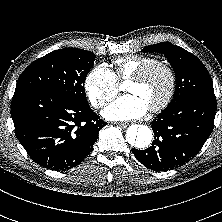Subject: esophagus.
<instances>
[{
    "label": "esophagus",
    "instance_id": "1",
    "mask_svg": "<svg viewBox=\"0 0 222 222\" xmlns=\"http://www.w3.org/2000/svg\"><path fill=\"white\" fill-rule=\"evenodd\" d=\"M129 124L126 123H118V126L122 129H125L126 127H128Z\"/></svg>",
    "mask_w": 222,
    "mask_h": 222
}]
</instances>
